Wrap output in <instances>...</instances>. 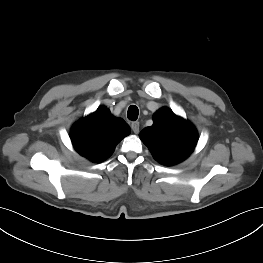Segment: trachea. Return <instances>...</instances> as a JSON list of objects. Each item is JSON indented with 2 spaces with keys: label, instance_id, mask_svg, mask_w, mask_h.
<instances>
[{
  "label": "trachea",
  "instance_id": "trachea-1",
  "mask_svg": "<svg viewBox=\"0 0 263 263\" xmlns=\"http://www.w3.org/2000/svg\"><path fill=\"white\" fill-rule=\"evenodd\" d=\"M138 114H139V111H138L137 106L131 105L128 108V113H127L128 119L135 121L138 118Z\"/></svg>",
  "mask_w": 263,
  "mask_h": 263
}]
</instances>
